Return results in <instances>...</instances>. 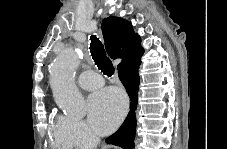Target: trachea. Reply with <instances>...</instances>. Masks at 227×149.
I'll list each match as a JSON object with an SVG mask.
<instances>
[{
	"instance_id": "obj_1",
	"label": "trachea",
	"mask_w": 227,
	"mask_h": 149,
	"mask_svg": "<svg viewBox=\"0 0 227 149\" xmlns=\"http://www.w3.org/2000/svg\"><path fill=\"white\" fill-rule=\"evenodd\" d=\"M90 52L97 67L108 77L114 74V67L111 60L106 56L104 47L95 35L90 37Z\"/></svg>"
}]
</instances>
